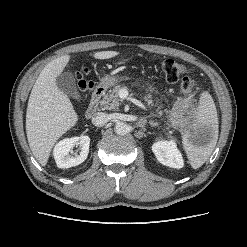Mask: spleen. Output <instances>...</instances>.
<instances>
[{"label":"spleen","instance_id":"obj_1","mask_svg":"<svg viewBox=\"0 0 247 247\" xmlns=\"http://www.w3.org/2000/svg\"><path fill=\"white\" fill-rule=\"evenodd\" d=\"M218 126L215 103L211 95L208 92H204L200 97L193 130L196 131L200 128L208 129L211 132V137L202 145L194 144L190 139L191 134L189 133H185L182 139L190 165L194 169L201 167L212 154L218 139Z\"/></svg>","mask_w":247,"mask_h":247}]
</instances>
